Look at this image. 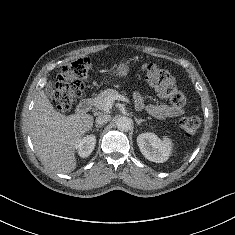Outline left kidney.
<instances>
[{
  "label": "left kidney",
  "mask_w": 235,
  "mask_h": 235,
  "mask_svg": "<svg viewBox=\"0 0 235 235\" xmlns=\"http://www.w3.org/2000/svg\"><path fill=\"white\" fill-rule=\"evenodd\" d=\"M137 143L144 157L155 163L167 161L173 145L168 137L164 136L161 140L154 133L148 132L139 134Z\"/></svg>",
  "instance_id": "1"
}]
</instances>
